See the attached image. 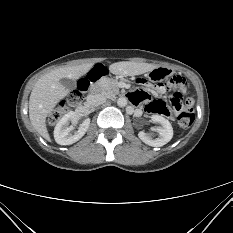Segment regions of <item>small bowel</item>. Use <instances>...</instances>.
I'll use <instances>...</instances> for the list:
<instances>
[{"mask_svg": "<svg viewBox=\"0 0 233 233\" xmlns=\"http://www.w3.org/2000/svg\"><path fill=\"white\" fill-rule=\"evenodd\" d=\"M165 90H166V88H165L164 86L158 87V88H157V92H158V93H161V94L164 93ZM180 90H181L182 94L185 95V93H186V87L181 86V87H180ZM147 96H148V88H147V89H144V90H139V91H136V92L132 93V94H131V99H132V101H133L134 103H139L140 101L146 99ZM146 109H147L148 112L153 113V112L149 109V104L147 105ZM140 113H141V111H140L139 109H136V110H135V114H136V115H139Z\"/></svg>", "mask_w": 233, "mask_h": 233, "instance_id": "obj_1", "label": "small bowel"}]
</instances>
